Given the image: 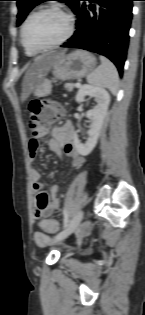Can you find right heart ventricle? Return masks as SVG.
Instances as JSON below:
<instances>
[{"mask_svg":"<svg viewBox=\"0 0 145 315\" xmlns=\"http://www.w3.org/2000/svg\"><path fill=\"white\" fill-rule=\"evenodd\" d=\"M24 49H25L26 54L29 55V56H33V55H36L38 53V52H35V51H31V50L27 49L26 47H24Z\"/></svg>","mask_w":145,"mask_h":315,"instance_id":"right-heart-ventricle-1","label":"right heart ventricle"}]
</instances>
